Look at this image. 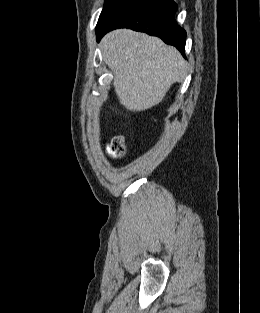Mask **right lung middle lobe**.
I'll return each mask as SVG.
<instances>
[{"label": "right lung middle lobe", "instance_id": "1", "mask_svg": "<svg viewBox=\"0 0 260 313\" xmlns=\"http://www.w3.org/2000/svg\"><path fill=\"white\" fill-rule=\"evenodd\" d=\"M119 0H105V5L99 20L118 2Z\"/></svg>", "mask_w": 260, "mask_h": 313}]
</instances>
